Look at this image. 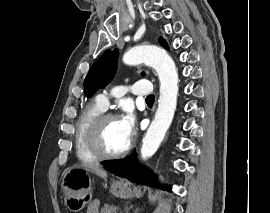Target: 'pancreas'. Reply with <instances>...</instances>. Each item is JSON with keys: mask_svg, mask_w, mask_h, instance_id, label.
<instances>
[{"mask_svg": "<svg viewBox=\"0 0 270 213\" xmlns=\"http://www.w3.org/2000/svg\"><path fill=\"white\" fill-rule=\"evenodd\" d=\"M101 213H115V207L105 204L102 208H101Z\"/></svg>", "mask_w": 270, "mask_h": 213, "instance_id": "cf45deb5", "label": "pancreas"}]
</instances>
